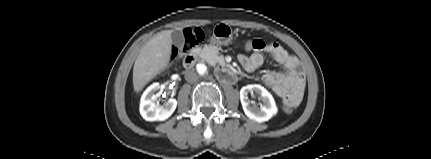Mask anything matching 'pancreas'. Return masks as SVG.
I'll use <instances>...</instances> for the list:
<instances>
[{"instance_id":"cf45deb5","label":"pancreas","mask_w":431,"mask_h":159,"mask_svg":"<svg viewBox=\"0 0 431 159\" xmlns=\"http://www.w3.org/2000/svg\"><path fill=\"white\" fill-rule=\"evenodd\" d=\"M200 56L205 59L208 63L215 65L216 63L223 60V57L219 56V51L212 46H204L199 49Z\"/></svg>"}]
</instances>
